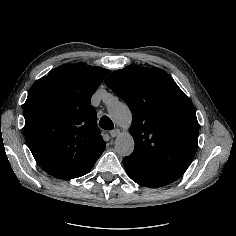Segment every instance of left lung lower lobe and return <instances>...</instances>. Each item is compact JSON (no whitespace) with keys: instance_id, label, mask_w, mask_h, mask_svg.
Listing matches in <instances>:
<instances>
[{"instance_id":"left-lung-lower-lobe-1","label":"left lung lower lobe","mask_w":236,"mask_h":236,"mask_svg":"<svg viewBox=\"0 0 236 236\" xmlns=\"http://www.w3.org/2000/svg\"><path fill=\"white\" fill-rule=\"evenodd\" d=\"M123 165L129 177L139 185L157 188L172 183L165 177L160 176L140 163L127 157L123 159Z\"/></svg>"}]
</instances>
